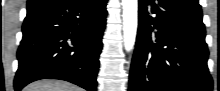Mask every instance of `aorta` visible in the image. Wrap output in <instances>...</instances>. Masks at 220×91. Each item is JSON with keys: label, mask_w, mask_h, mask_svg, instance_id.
<instances>
[{"label": "aorta", "mask_w": 220, "mask_h": 91, "mask_svg": "<svg viewBox=\"0 0 220 91\" xmlns=\"http://www.w3.org/2000/svg\"><path fill=\"white\" fill-rule=\"evenodd\" d=\"M123 36L127 52L134 47L138 26V0H122Z\"/></svg>", "instance_id": "1"}]
</instances>
